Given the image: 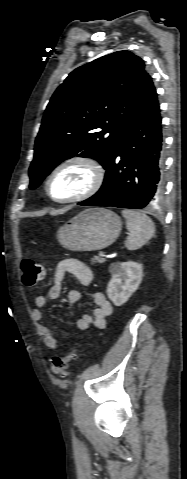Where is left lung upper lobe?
<instances>
[{"mask_svg": "<svg viewBox=\"0 0 187 479\" xmlns=\"http://www.w3.org/2000/svg\"><path fill=\"white\" fill-rule=\"evenodd\" d=\"M148 73L143 60L118 51L69 74L53 94L35 142L31 189L71 157L109 163Z\"/></svg>", "mask_w": 187, "mask_h": 479, "instance_id": "left-lung-upper-lobe-1", "label": "left lung upper lobe"}]
</instances>
